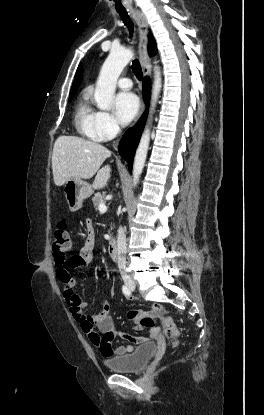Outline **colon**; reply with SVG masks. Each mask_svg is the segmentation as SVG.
Masks as SVG:
<instances>
[{"instance_id":"5ec220e1","label":"colon","mask_w":264,"mask_h":415,"mask_svg":"<svg viewBox=\"0 0 264 415\" xmlns=\"http://www.w3.org/2000/svg\"><path fill=\"white\" fill-rule=\"evenodd\" d=\"M72 251L73 241L71 233L67 224L61 222L54 232V256L56 264L60 265L65 263ZM69 293H72V290ZM161 320L166 327L168 338L173 343H177L179 339V330L174 319L171 316L162 315ZM140 322L145 327L151 328L154 326V320L149 316H143Z\"/></svg>"}]
</instances>
